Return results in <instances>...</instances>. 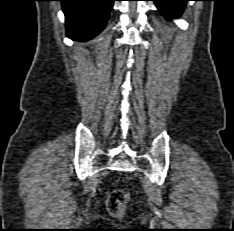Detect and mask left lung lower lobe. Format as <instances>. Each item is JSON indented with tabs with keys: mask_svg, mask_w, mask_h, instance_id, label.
<instances>
[{
	"mask_svg": "<svg viewBox=\"0 0 234 231\" xmlns=\"http://www.w3.org/2000/svg\"><path fill=\"white\" fill-rule=\"evenodd\" d=\"M166 18L176 17L182 13L186 2L189 0H153Z\"/></svg>",
	"mask_w": 234,
	"mask_h": 231,
	"instance_id": "obj_1",
	"label": "left lung lower lobe"
}]
</instances>
